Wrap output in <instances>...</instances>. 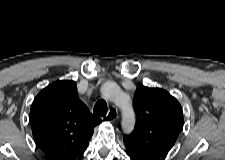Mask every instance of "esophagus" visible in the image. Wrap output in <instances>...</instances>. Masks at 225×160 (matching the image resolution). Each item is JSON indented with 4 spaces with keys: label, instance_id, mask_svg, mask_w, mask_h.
<instances>
[{
    "label": "esophagus",
    "instance_id": "obj_1",
    "mask_svg": "<svg viewBox=\"0 0 225 160\" xmlns=\"http://www.w3.org/2000/svg\"><path fill=\"white\" fill-rule=\"evenodd\" d=\"M118 117L119 115H118V110L116 107H112L107 113V115L105 116V118L111 122H114L115 120H117Z\"/></svg>",
    "mask_w": 225,
    "mask_h": 160
}]
</instances>
